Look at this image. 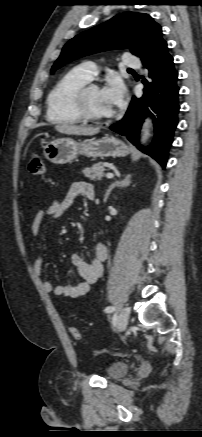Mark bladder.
<instances>
[{
	"label": "bladder",
	"instance_id": "obj_1",
	"mask_svg": "<svg viewBox=\"0 0 202 437\" xmlns=\"http://www.w3.org/2000/svg\"><path fill=\"white\" fill-rule=\"evenodd\" d=\"M130 369V365L124 361H116L111 363L107 370L106 375L109 379H119L127 374Z\"/></svg>",
	"mask_w": 202,
	"mask_h": 437
}]
</instances>
